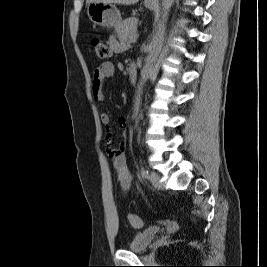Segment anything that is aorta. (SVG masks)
Segmentation results:
<instances>
[{"label":"aorta","instance_id":"obj_1","mask_svg":"<svg viewBox=\"0 0 267 267\" xmlns=\"http://www.w3.org/2000/svg\"><path fill=\"white\" fill-rule=\"evenodd\" d=\"M173 3L174 0H162L161 16L157 22L155 33L153 34L152 40L149 45V53L145 58L144 66L141 69V78L138 82L135 98L133 101L134 117H137L139 113L140 105L142 102L143 87L152 72L153 64L160 52L166 29V21L168 19V15Z\"/></svg>","mask_w":267,"mask_h":267}]
</instances>
